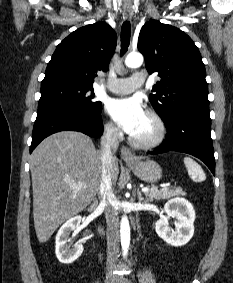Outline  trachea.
Here are the masks:
<instances>
[{
  "label": "trachea",
  "instance_id": "1",
  "mask_svg": "<svg viewBox=\"0 0 233 283\" xmlns=\"http://www.w3.org/2000/svg\"><path fill=\"white\" fill-rule=\"evenodd\" d=\"M131 26L129 21H125L121 28V54L123 55L129 47Z\"/></svg>",
  "mask_w": 233,
  "mask_h": 283
}]
</instances>
